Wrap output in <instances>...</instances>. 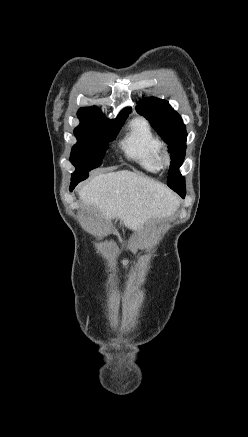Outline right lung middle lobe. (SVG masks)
<instances>
[{
    "mask_svg": "<svg viewBox=\"0 0 248 437\" xmlns=\"http://www.w3.org/2000/svg\"><path fill=\"white\" fill-rule=\"evenodd\" d=\"M125 117L117 121H107L100 124L80 123L74 134L77 143L71 151L70 161L76 167L72 180H84L91 169L100 166L104 154L124 124Z\"/></svg>",
    "mask_w": 248,
    "mask_h": 437,
    "instance_id": "dd1d6c3e",
    "label": "right lung middle lobe"
}]
</instances>
